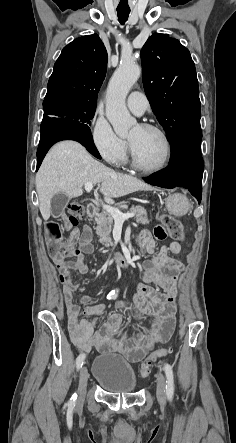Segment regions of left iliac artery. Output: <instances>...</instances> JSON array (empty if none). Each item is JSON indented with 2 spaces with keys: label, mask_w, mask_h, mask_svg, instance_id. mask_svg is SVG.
I'll return each instance as SVG.
<instances>
[{
  "label": "left iliac artery",
  "mask_w": 236,
  "mask_h": 443,
  "mask_svg": "<svg viewBox=\"0 0 236 443\" xmlns=\"http://www.w3.org/2000/svg\"><path fill=\"white\" fill-rule=\"evenodd\" d=\"M164 371L166 374V394L169 400L173 398L174 394V377H173V370L172 366L169 364H165Z\"/></svg>",
  "instance_id": "1"
}]
</instances>
